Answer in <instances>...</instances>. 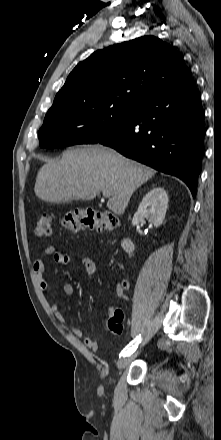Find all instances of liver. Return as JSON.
<instances>
[{"instance_id": "6515ba94", "label": "liver", "mask_w": 221, "mask_h": 440, "mask_svg": "<svg viewBox=\"0 0 221 440\" xmlns=\"http://www.w3.org/2000/svg\"><path fill=\"white\" fill-rule=\"evenodd\" d=\"M155 173L113 149L77 147L64 151L59 161H46L37 174L34 191L50 203L92 200L100 191L107 192V207L121 215L133 192Z\"/></svg>"}]
</instances>
